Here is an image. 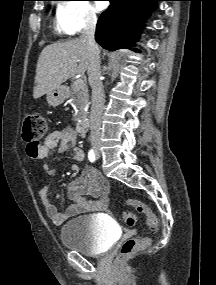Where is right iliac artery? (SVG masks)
I'll list each match as a JSON object with an SVG mask.
<instances>
[{
    "instance_id": "82829eb1",
    "label": "right iliac artery",
    "mask_w": 216,
    "mask_h": 285,
    "mask_svg": "<svg viewBox=\"0 0 216 285\" xmlns=\"http://www.w3.org/2000/svg\"><path fill=\"white\" fill-rule=\"evenodd\" d=\"M88 159L90 160V162H94L95 161V153L94 150L91 149L88 153Z\"/></svg>"
}]
</instances>
